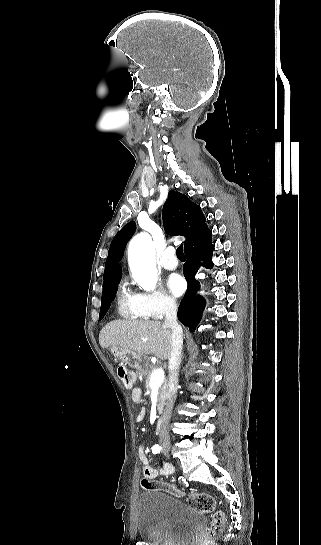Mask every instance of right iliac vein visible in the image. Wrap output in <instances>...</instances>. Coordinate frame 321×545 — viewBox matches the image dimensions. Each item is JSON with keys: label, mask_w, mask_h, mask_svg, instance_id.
Instances as JSON below:
<instances>
[{"label": "right iliac vein", "mask_w": 321, "mask_h": 545, "mask_svg": "<svg viewBox=\"0 0 321 545\" xmlns=\"http://www.w3.org/2000/svg\"><path fill=\"white\" fill-rule=\"evenodd\" d=\"M169 453H170V450H169L168 448H165V449H164V454H165V455H169Z\"/></svg>", "instance_id": "obj_1"}]
</instances>
